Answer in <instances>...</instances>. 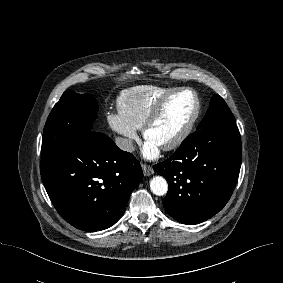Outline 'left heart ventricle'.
Here are the masks:
<instances>
[{
    "label": "left heart ventricle",
    "instance_id": "left-heart-ventricle-1",
    "mask_svg": "<svg viewBox=\"0 0 283 283\" xmlns=\"http://www.w3.org/2000/svg\"><path fill=\"white\" fill-rule=\"evenodd\" d=\"M194 109L195 101L190 93L176 95L149 129L147 138L159 147L166 144L182 130Z\"/></svg>",
    "mask_w": 283,
    "mask_h": 283
}]
</instances>
